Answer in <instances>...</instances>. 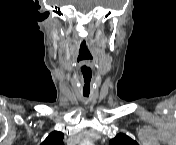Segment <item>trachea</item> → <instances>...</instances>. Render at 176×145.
Instances as JSON below:
<instances>
[{
    "mask_svg": "<svg viewBox=\"0 0 176 145\" xmlns=\"http://www.w3.org/2000/svg\"><path fill=\"white\" fill-rule=\"evenodd\" d=\"M85 97H88L89 95H84Z\"/></svg>",
    "mask_w": 176,
    "mask_h": 145,
    "instance_id": "3493384b",
    "label": "trachea"
}]
</instances>
